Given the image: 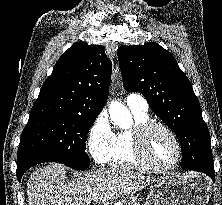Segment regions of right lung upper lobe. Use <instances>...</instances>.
<instances>
[{"instance_id":"right-lung-upper-lobe-1","label":"right lung upper lobe","mask_w":222,"mask_h":205,"mask_svg":"<svg viewBox=\"0 0 222 205\" xmlns=\"http://www.w3.org/2000/svg\"><path fill=\"white\" fill-rule=\"evenodd\" d=\"M111 70L103 46L74 43L44 82L30 116L52 113L98 116L108 97Z\"/></svg>"}]
</instances>
